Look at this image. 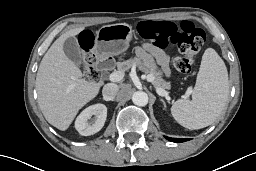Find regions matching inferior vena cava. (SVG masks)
I'll use <instances>...</instances> for the list:
<instances>
[{
	"mask_svg": "<svg viewBox=\"0 0 256 171\" xmlns=\"http://www.w3.org/2000/svg\"><path fill=\"white\" fill-rule=\"evenodd\" d=\"M119 87L114 83H108L103 87L102 94L105 100H113L118 94Z\"/></svg>",
	"mask_w": 256,
	"mask_h": 171,
	"instance_id": "obj_1",
	"label": "inferior vena cava"
}]
</instances>
